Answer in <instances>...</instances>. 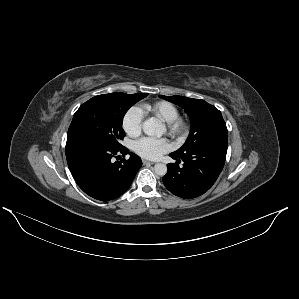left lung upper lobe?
Segmentation results:
<instances>
[{"instance_id": "1", "label": "left lung upper lobe", "mask_w": 299, "mask_h": 299, "mask_svg": "<svg viewBox=\"0 0 299 299\" xmlns=\"http://www.w3.org/2000/svg\"><path fill=\"white\" fill-rule=\"evenodd\" d=\"M160 97L184 108L190 117L189 137L180 149L173 152L175 155H183L207 142L228 139L226 123L221 112L206 101L183 96Z\"/></svg>"}]
</instances>
